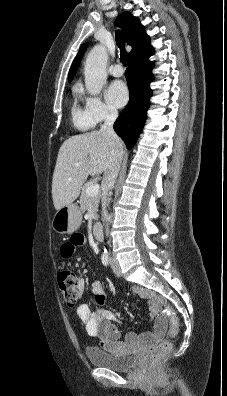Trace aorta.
<instances>
[{
    "instance_id": "762f6f07",
    "label": "aorta",
    "mask_w": 227,
    "mask_h": 396,
    "mask_svg": "<svg viewBox=\"0 0 227 396\" xmlns=\"http://www.w3.org/2000/svg\"><path fill=\"white\" fill-rule=\"evenodd\" d=\"M108 53L103 45H95L85 61V85L90 95H99L107 80Z\"/></svg>"
}]
</instances>
